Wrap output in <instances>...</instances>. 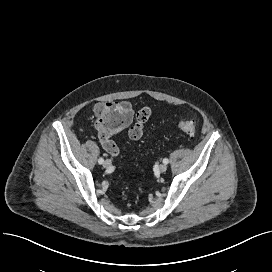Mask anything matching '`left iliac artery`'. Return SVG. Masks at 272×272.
<instances>
[{"mask_svg": "<svg viewBox=\"0 0 272 272\" xmlns=\"http://www.w3.org/2000/svg\"><path fill=\"white\" fill-rule=\"evenodd\" d=\"M163 163L164 164H168L169 163V160L167 158L163 159Z\"/></svg>", "mask_w": 272, "mask_h": 272, "instance_id": "1", "label": "left iliac artery"}]
</instances>
